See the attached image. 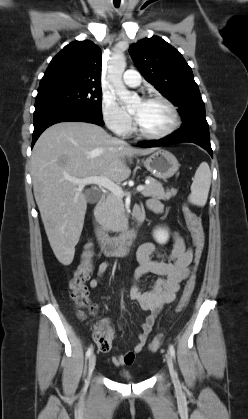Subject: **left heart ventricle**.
Segmentation results:
<instances>
[{
	"label": "left heart ventricle",
	"mask_w": 248,
	"mask_h": 419,
	"mask_svg": "<svg viewBox=\"0 0 248 419\" xmlns=\"http://www.w3.org/2000/svg\"><path fill=\"white\" fill-rule=\"evenodd\" d=\"M131 112L140 127L149 133L162 132L172 122L169 109L161 102L139 101L134 105Z\"/></svg>",
	"instance_id": "b2bd125f"
}]
</instances>
